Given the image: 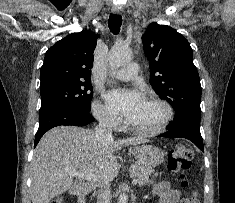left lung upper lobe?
<instances>
[{
    "label": "left lung upper lobe",
    "instance_id": "obj_1",
    "mask_svg": "<svg viewBox=\"0 0 235 203\" xmlns=\"http://www.w3.org/2000/svg\"><path fill=\"white\" fill-rule=\"evenodd\" d=\"M150 63V84L175 110V119L201 117V84L185 37L167 25L151 23L142 36Z\"/></svg>",
    "mask_w": 235,
    "mask_h": 203
}]
</instances>
